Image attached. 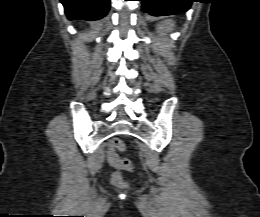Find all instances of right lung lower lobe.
<instances>
[{"mask_svg":"<svg viewBox=\"0 0 260 217\" xmlns=\"http://www.w3.org/2000/svg\"><path fill=\"white\" fill-rule=\"evenodd\" d=\"M70 20H99L109 11L110 0H60Z\"/></svg>","mask_w":260,"mask_h":217,"instance_id":"obj_1","label":"right lung lower lobe"}]
</instances>
